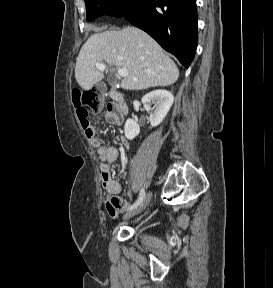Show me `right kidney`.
Wrapping results in <instances>:
<instances>
[{"instance_id":"right-kidney-1","label":"right kidney","mask_w":273,"mask_h":288,"mask_svg":"<svg viewBox=\"0 0 273 288\" xmlns=\"http://www.w3.org/2000/svg\"><path fill=\"white\" fill-rule=\"evenodd\" d=\"M141 101L146 111L150 112L149 121L152 128L164 120L174 102V96L167 90L158 89L146 94ZM152 104H154L153 108L151 107ZM139 132V124L133 119H127L124 126L125 137L132 140Z\"/></svg>"}]
</instances>
